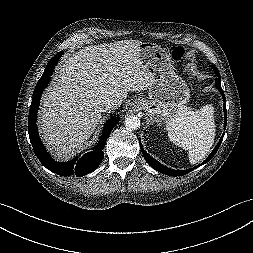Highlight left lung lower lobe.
I'll return each mask as SVG.
<instances>
[{"label":"left lung lower lobe","mask_w":253,"mask_h":253,"mask_svg":"<svg viewBox=\"0 0 253 253\" xmlns=\"http://www.w3.org/2000/svg\"><path fill=\"white\" fill-rule=\"evenodd\" d=\"M214 68V72L216 73V75L218 76L216 78V88L220 91L221 95H222V98H223V101L225 102V95H224V92L221 88V77H220V73L219 71L217 70V68L213 67ZM223 107H224V116H225V123H224V129L226 128V117H227V114H226V104H223ZM222 139H223V136L222 138L220 139L219 143L217 144V146L215 147V149L212 151V153L208 156V158L203 161L200 165H198L197 167L205 164L206 162H208L214 155L215 153L217 152L221 142H222ZM141 151H142V154L144 156V158L146 159V161L148 162V164L153 167L155 170L163 173V174H166V175H169V176H182V175H185L187 174L188 172L194 170L195 168L197 167H194V168H191V169H188V170H173V169H170V168H167L166 166L162 165L161 163H159L158 161H156L154 158H152L150 155H148L145 150L143 149L142 145H141Z\"/></svg>","instance_id":"1"}]
</instances>
